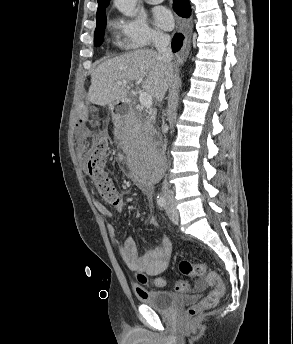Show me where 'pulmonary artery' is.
<instances>
[{
    "mask_svg": "<svg viewBox=\"0 0 293 344\" xmlns=\"http://www.w3.org/2000/svg\"><path fill=\"white\" fill-rule=\"evenodd\" d=\"M149 4H158L161 3L163 0H145Z\"/></svg>",
    "mask_w": 293,
    "mask_h": 344,
    "instance_id": "e3ab8cb5",
    "label": "pulmonary artery"
}]
</instances>
